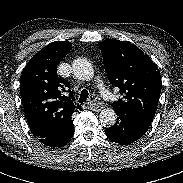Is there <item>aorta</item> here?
I'll return each instance as SVG.
<instances>
[{
	"label": "aorta",
	"instance_id": "obj_1",
	"mask_svg": "<svg viewBox=\"0 0 183 183\" xmlns=\"http://www.w3.org/2000/svg\"><path fill=\"white\" fill-rule=\"evenodd\" d=\"M73 74L80 80H90L94 76L92 64L84 58L75 59L72 63ZM116 113L112 108L103 109L99 120L104 127H111L116 121Z\"/></svg>",
	"mask_w": 183,
	"mask_h": 183
}]
</instances>
